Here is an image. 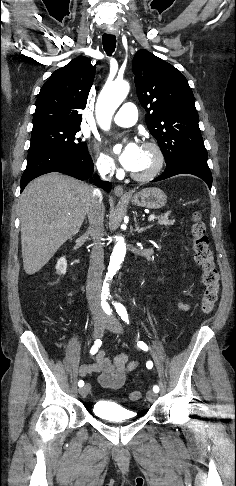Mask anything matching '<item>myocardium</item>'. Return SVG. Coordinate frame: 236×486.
Returning <instances> with one entry per match:
<instances>
[{"label":"myocardium","mask_w":236,"mask_h":486,"mask_svg":"<svg viewBox=\"0 0 236 486\" xmlns=\"http://www.w3.org/2000/svg\"><path fill=\"white\" fill-rule=\"evenodd\" d=\"M142 148L150 149L151 151H153L155 155L154 166L151 170H149L146 173L131 172L130 175L136 181L146 182L156 178L160 174V172L164 167L165 156L161 147L155 142L152 141L145 142L143 143Z\"/></svg>","instance_id":"f54148a6"}]
</instances>
